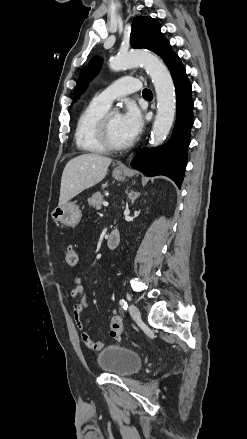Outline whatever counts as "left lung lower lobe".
<instances>
[{"label":"left lung lower lobe","instance_id":"obj_1","mask_svg":"<svg viewBox=\"0 0 247 439\" xmlns=\"http://www.w3.org/2000/svg\"><path fill=\"white\" fill-rule=\"evenodd\" d=\"M175 89L177 117L169 142L157 148H144L136 154L131 166L146 176L165 175L181 187L187 164V147L190 143V129L193 125L191 84L180 59L170 69Z\"/></svg>","mask_w":247,"mask_h":439}]
</instances>
